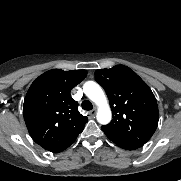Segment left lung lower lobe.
<instances>
[{"instance_id":"1","label":"left lung lower lobe","mask_w":181,"mask_h":181,"mask_svg":"<svg viewBox=\"0 0 181 181\" xmlns=\"http://www.w3.org/2000/svg\"><path fill=\"white\" fill-rule=\"evenodd\" d=\"M123 149H126V150H134V149H137L139 148L138 146H126V147H121Z\"/></svg>"}]
</instances>
